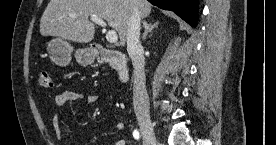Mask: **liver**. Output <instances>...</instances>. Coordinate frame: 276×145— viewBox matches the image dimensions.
<instances>
[{
	"label": "liver",
	"mask_w": 276,
	"mask_h": 145,
	"mask_svg": "<svg viewBox=\"0 0 276 145\" xmlns=\"http://www.w3.org/2000/svg\"><path fill=\"white\" fill-rule=\"evenodd\" d=\"M132 3L140 17L150 15L152 5L146 0H50L40 20V34L89 43L95 36V25L89 18L95 15L116 30L124 46Z\"/></svg>",
	"instance_id": "1"
}]
</instances>
